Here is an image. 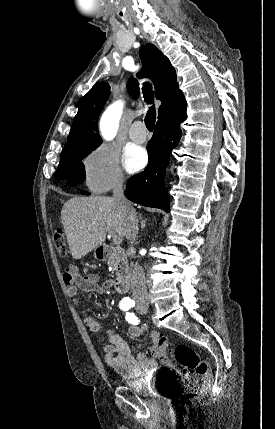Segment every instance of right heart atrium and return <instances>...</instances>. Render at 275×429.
Segmentation results:
<instances>
[{
  "label": "right heart atrium",
  "mask_w": 275,
  "mask_h": 429,
  "mask_svg": "<svg viewBox=\"0 0 275 429\" xmlns=\"http://www.w3.org/2000/svg\"><path fill=\"white\" fill-rule=\"evenodd\" d=\"M84 180L94 192H105L124 181L118 153L108 145H99L82 161Z\"/></svg>",
  "instance_id": "d8ad5b80"
}]
</instances>
